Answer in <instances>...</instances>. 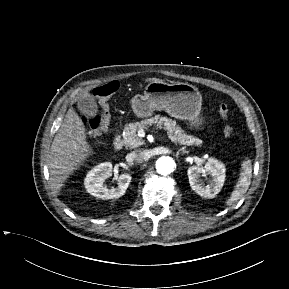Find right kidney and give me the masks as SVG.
<instances>
[{
  "label": "right kidney",
  "instance_id": "ca27d5eb",
  "mask_svg": "<svg viewBox=\"0 0 289 289\" xmlns=\"http://www.w3.org/2000/svg\"><path fill=\"white\" fill-rule=\"evenodd\" d=\"M112 175V164L110 162L100 163L93 167L86 175L84 185L88 193L91 195L107 200L120 198L126 192L131 176L129 174H121L118 178V186L108 189L104 186V181Z\"/></svg>",
  "mask_w": 289,
  "mask_h": 289
}]
</instances>
